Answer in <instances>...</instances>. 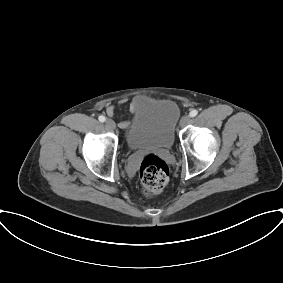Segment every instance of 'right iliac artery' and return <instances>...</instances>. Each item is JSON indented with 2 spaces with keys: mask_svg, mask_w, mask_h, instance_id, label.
I'll return each instance as SVG.
<instances>
[{
  "mask_svg": "<svg viewBox=\"0 0 283 283\" xmlns=\"http://www.w3.org/2000/svg\"><path fill=\"white\" fill-rule=\"evenodd\" d=\"M98 119H99L100 122H104L106 120L105 116H103V115L99 116Z\"/></svg>",
  "mask_w": 283,
  "mask_h": 283,
  "instance_id": "right-iliac-artery-1",
  "label": "right iliac artery"
}]
</instances>
